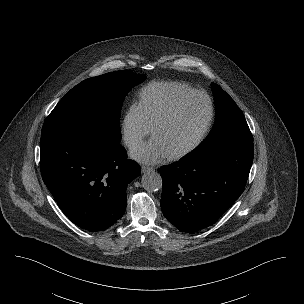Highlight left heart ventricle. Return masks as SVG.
I'll return each instance as SVG.
<instances>
[{
    "instance_id": "1",
    "label": "left heart ventricle",
    "mask_w": 304,
    "mask_h": 304,
    "mask_svg": "<svg viewBox=\"0 0 304 304\" xmlns=\"http://www.w3.org/2000/svg\"><path fill=\"white\" fill-rule=\"evenodd\" d=\"M208 116V104L202 97L184 102L177 112L154 133L170 154L191 144L201 132Z\"/></svg>"
}]
</instances>
